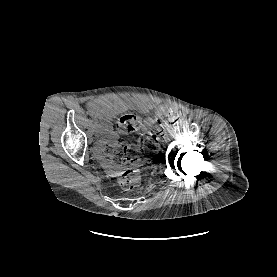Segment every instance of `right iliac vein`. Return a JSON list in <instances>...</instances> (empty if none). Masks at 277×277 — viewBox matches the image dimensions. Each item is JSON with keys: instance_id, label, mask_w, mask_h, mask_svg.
<instances>
[{"instance_id": "right-iliac-vein-1", "label": "right iliac vein", "mask_w": 277, "mask_h": 277, "mask_svg": "<svg viewBox=\"0 0 277 277\" xmlns=\"http://www.w3.org/2000/svg\"><path fill=\"white\" fill-rule=\"evenodd\" d=\"M95 136L98 137L99 136V132L98 131H95Z\"/></svg>"}]
</instances>
